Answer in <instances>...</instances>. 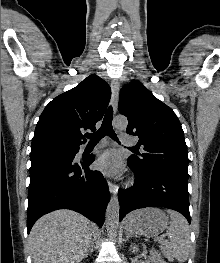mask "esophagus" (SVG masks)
I'll return each instance as SVG.
<instances>
[{"instance_id": "34e87169", "label": "esophagus", "mask_w": 220, "mask_h": 263, "mask_svg": "<svg viewBox=\"0 0 220 263\" xmlns=\"http://www.w3.org/2000/svg\"><path fill=\"white\" fill-rule=\"evenodd\" d=\"M119 88H120L119 81L113 80L111 83V91H112V106L114 112H116L117 110ZM108 186L111 194L116 195L118 193V186L116 184L109 181Z\"/></svg>"}]
</instances>
